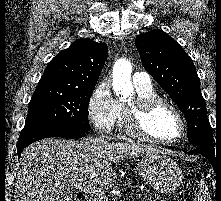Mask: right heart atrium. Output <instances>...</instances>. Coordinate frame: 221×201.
I'll use <instances>...</instances> for the list:
<instances>
[{
	"instance_id": "obj_1",
	"label": "right heart atrium",
	"mask_w": 221,
	"mask_h": 201,
	"mask_svg": "<svg viewBox=\"0 0 221 201\" xmlns=\"http://www.w3.org/2000/svg\"><path fill=\"white\" fill-rule=\"evenodd\" d=\"M119 103L107 83H100L92 92L87 106L88 119L100 133H109L119 119Z\"/></svg>"
}]
</instances>
